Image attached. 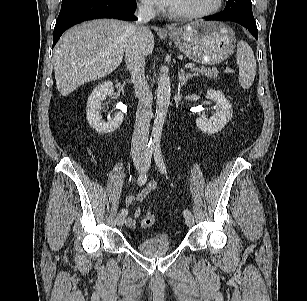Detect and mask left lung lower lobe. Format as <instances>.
Instances as JSON below:
<instances>
[{
  "mask_svg": "<svg viewBox=\"0 0 307 301\" xmlns=\"http://www.w3.org/2000/svg\"><path fill=\"white\" fill-rule=\"evenodd\" d=\"M206 20H216V21H233L243 25L249 32L257 39L258 30L256 22L253 16L239 15V14H218L214 16H209L205 18Z\"/></svg>",
  "mask_w": 307,
  "mask_h": 301,
  "instance_id": "obj_1",
  "label": "left lung lower lobe"
}]
</instances>
